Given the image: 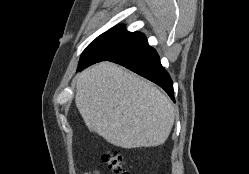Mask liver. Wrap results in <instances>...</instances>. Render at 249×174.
<instances>
[{
	"label": "liver",
	"instance_id": "6515ba94",
	"mask_svg": "<svg viewBox=\"0 0 249 174\" xmlns=\"http://www.w3.org/2000/svg\"><path fill=\"white\" fill-rule=\"evenodd\" d=\"M75 103L88 127L126 149L163 144L174 124L173 105L160 90L108 61L77 76Z\"/></svg>",
	"mask_w": 249,
	"mask_h": 174
}]
</instances>
